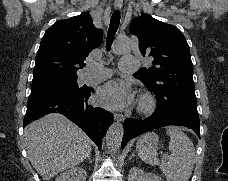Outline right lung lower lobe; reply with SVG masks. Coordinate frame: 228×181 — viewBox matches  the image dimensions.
I'll return each instance as SVG.
<instances>
[{"mask_svg": "<svg viewBox=\"0 0 228 181\" xmlns=\"http://www.w3.org/2000/svg\"><path fill=\"white\" fill-rule=\"evenodd\" d=\"M93 91L90 87H81L78 92L57 86L31 89L24 124L48 113L59 112L77 124L100 149L102 138L113 123V115L88 104Z\"/></svg>", "mask_w": 228, "mask_h": 181, "instance_id": "obj_1", "label": "right lung lower lobe"}]
</instances>
